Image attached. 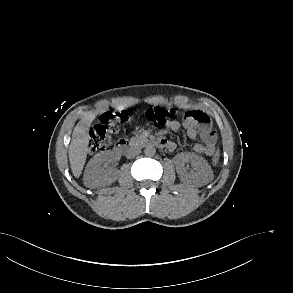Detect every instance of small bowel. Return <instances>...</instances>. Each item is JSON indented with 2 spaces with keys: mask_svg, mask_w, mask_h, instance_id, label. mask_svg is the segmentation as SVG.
I'll return each mask as SVG.
<instances>
[{
  "mask_svg": "<svg viewBox=\"0 0 293 293\" xmlns=\"http://www.w3.org/2000/svg\"><path fill=\"white\" fill-rule=\"evenodd\" d=\"M194 112L200 115V123L185 121V124H183L181 121L174 119L166 125V128L172 132H178L184 126L187 136L190 139H196L197 137H200L203 141V143H195L193 145V151L198 154L211 156L215 152L217 136L210 125V119L208 115L202 111ZM166 148L169 151H174L176 145L174 142L168 141Z\"/></svg>",
  "mask_w": 293,
  "mask_h": 293,
  "instance_id": "small-bowel-1",
  "label": "small bowel"
}]
</instances>
